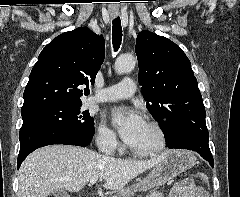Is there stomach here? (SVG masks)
I'll return each mask as SVG.
<instances>
[{
	"label": "stomach",
	"mask_w": 240,
	"mask_h": 197,
	"mask_svg": "<svg viewBox=\"0 0 240 197\" xmlns=\"http://www.w3.org/2000/svg\"><path fill=\"white\" fill-rule=\"evenodd\" d=\"M196 164V157L186 150H172L163 160L142 180L134 185L133 189L122 191L123 197H129L133 191H147L160 186L180 173L191 169Z\"/></svg>",
	"instance_id": "stomach-1"
}]
</instances>
